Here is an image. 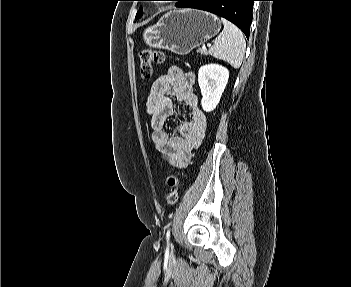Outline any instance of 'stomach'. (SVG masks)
<instances>
[{
	"label": "stomach",
	"instance_id": "0dacf381",
	"mask_svg": "<svg viewBox=\"0 0 351 287\" xmlns=\"http://www.w3.org/2000/svg\"><path fill=\"white\" fill-rule=\"evenodd\" d=\"M220 30L221 22L216 15L182 9L164 14L155 25L145 29L143 39L149 47L186 55Z\"/></svg>",
	"mask_w": 351,
	"mask_h": 287
}]
</instances>
